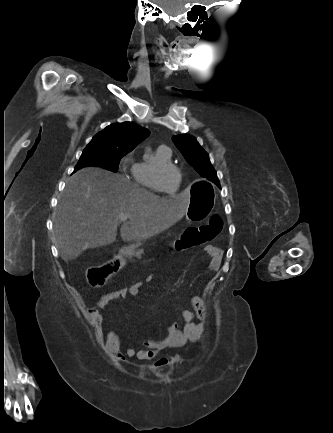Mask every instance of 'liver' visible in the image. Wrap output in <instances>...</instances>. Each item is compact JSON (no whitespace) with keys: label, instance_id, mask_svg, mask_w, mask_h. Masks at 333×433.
<instances>
[{"label":"liver","instance_id":"liver-1","mask_svg":"<svg viewBox=\"0 0 333 433\" xmlns=\"http://www.w3.org/2000/svg\"><path fill=\"white\" fill-rule=\"evenodd\" d=\"M160 198L125 177L98 167L77 171L66 183L58 204L54 233L60 255L68 261L89 248L113 243L120 213L130 215L120 230L124 242L159 234L186 215L188 201Z\"/></svg>","mask_w":333,"mask_h":433}]
</instances>
